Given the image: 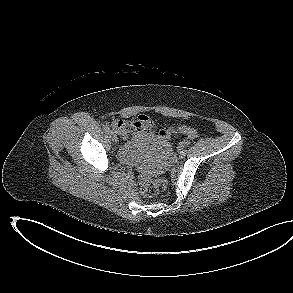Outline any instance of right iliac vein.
I'll use <instances>...</instances> for the list:
<instances>
[{
    "instance_id": "1",
    "label": "right iliac vein",
    "mask_w": 293,
    "mask_h": 293,
    "mask_svg": "<svg viewBox=\"0 0 293 293\" xmlns=\"http://www.w3.org/2000/svg\"><path fill=\"white\" fill-rule=\"evenodd\" d=\"M109 135H110L111 140L114 143H117L118 142V138H117L116 134L113 131H109Z\"/></svg>"
}]
</instances>
